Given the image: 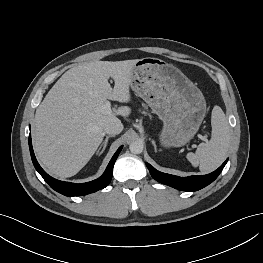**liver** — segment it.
<instances>
[{"instance_id": "6515ba94", "label": "liver", "mask_w": 263, "mask_h": 263, "mask_svg": "<svg viewBox=\"0 0 263 263\" xmlns=\"http://www.w3.org/2000/svg\"><path fill=\"white\" fill-rule=\"evenodd\" d=\"M136 61L84 63L65 72L50 89L36 110L33 140L38 158L51 174L60 178L77 174L102 142L104 127L119 120L117 115H130L127 106L112 114L100 112L99 107L107 100H131V70Z\"/></svg>"}]
</instances>
